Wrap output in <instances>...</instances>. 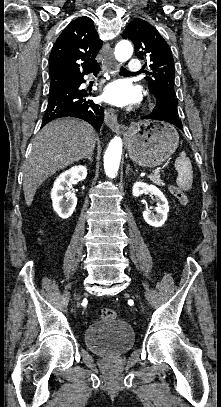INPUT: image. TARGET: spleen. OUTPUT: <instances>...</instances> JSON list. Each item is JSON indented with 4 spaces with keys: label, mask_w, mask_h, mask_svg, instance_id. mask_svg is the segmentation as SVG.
I'll return each instance as SVG.
<instances>
[{
    "label": "spleen",
    "mask_w": 221,
    "mask_h": 407,
    "mask_svg": "<svg viewBox=\"0 0 221 407\" xmlns=\"http://www.w3.org/2000/svg\"><path fill=\"white\" fill-rule=\"evenodd\" d=\"M175 169L178 172V177L176 179L178 187L184 191L190 190L193 183V170L191 161L186 157L184 151H182L180 156L176 159Z\"/></svg>",
    "instance_id": "obj_1"
}]
</instances>
